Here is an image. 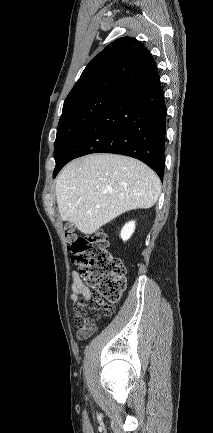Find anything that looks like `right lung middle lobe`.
<instances>
[{"label":"right lung middle lobe","instance_id":"right-lung-middle-lobe-1","mask_svg":"<svg viewBox=\"0 0 213 433\" xmlns=\"http://www.w3.org/2000/svg\"><path fill=\"white\" fill-rule=\"evenodd\" d=\"M120 95L121 93L102 92L63 105L55 140V161L73 139Z\"/></svg>","mask_w":213,"mask_h":433}]
</instances>
